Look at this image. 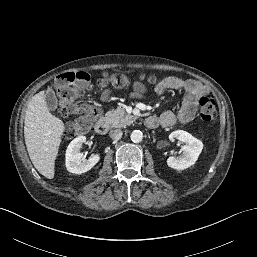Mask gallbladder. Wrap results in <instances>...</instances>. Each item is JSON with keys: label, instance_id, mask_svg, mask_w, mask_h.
Masks as SVG:
<instances>
[{"label": "gallbladder", "instance_id": "bac80fb5", "mask_svg": "<svg viewBox=\"0 0 257 257\" xmlns=\"http://www.w3.org/2000/svg\"><path fill=\"white\" fill-rule=\"evenodd\" d=\"M44 100L49 110L55 111L57 109L58 99L56 98L55 93L51 88H48L46 91Z\"/></svg>", "mask_w": 257, "mask_h": 257}]
</instances>
